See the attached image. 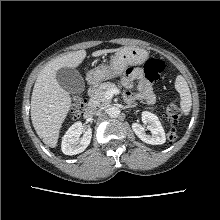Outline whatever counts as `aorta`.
Here are the masks:
<instances>
[{
  "label": "aorta",
  "instance_id": "obj_1",
  "mask_svg": "<svg viewBox=\"0 0 220 220\" xmlns=\"http://www.w3.org/2000/svg\"><path fill=\"white\" fill-rule=\"evenodd\" d=\"M120 109L118 107L112 106L108 109L107 113L111 118H117L120 115Z\"/></svg>",
  "mask_w": 220,
  "mask_h": 220
}]
</instances>
